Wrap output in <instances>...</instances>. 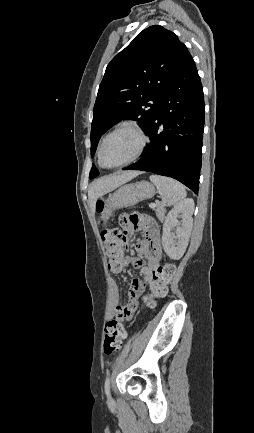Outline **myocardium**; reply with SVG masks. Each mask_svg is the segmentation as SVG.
<instances>
[{
	"label": "myocardium",
	"mask_w": 254,
	"mask_h": 433,
	"mask_svg": "<svg viewBox=\"0 0 254 433\" xmlns=\"http://www.w3.org/2000/svg\"><path fill=\"white\" fill-rule=\"evenodd\" d=\"M123 129H129V130H132L133 132H135L138 135V137L140 138V146H139L137 152L130 159H128L127 161H125V162H123L121 164L115 165V166L105 165L103 163V161H102V150H103V147H104L106 141L113 134H115L116 132H118L120 130H123ZM148 142H149L148 136L146 135V133L144 132V130L136 122H133V121L123 122L120 125H118L117 127H115L112 131H110L103 138V140H102V142H101V144L99 146V149H98V162H99V164L103 168H106V169H117V168H121V167L127 166V165L135 162L136 160H138L142 156V154L146 150Z\"/></svg>",
	"instance_id": "obj_1"
}]
</instances>
